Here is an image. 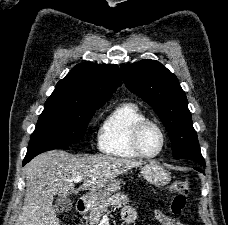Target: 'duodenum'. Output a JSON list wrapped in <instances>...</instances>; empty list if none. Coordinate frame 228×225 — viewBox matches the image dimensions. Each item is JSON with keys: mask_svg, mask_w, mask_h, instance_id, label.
<instances>
[{"mask_svg": "<svg viewBox=\"0 0 228 225\" xmlns=\"http://www.w3.org/2000/svg\"><path fill=\"white\" fill-rule=\"evenodd\" d=\"M92 198L90 196L81 198L76 203V211L78 214H82L86 211L91 203ZM75 224V223H73Z\"/></svg>", "mask_w": 228, "mask_h": 225, "instance_id": "obj_1", "label": "duodenum"}]
</instances>
